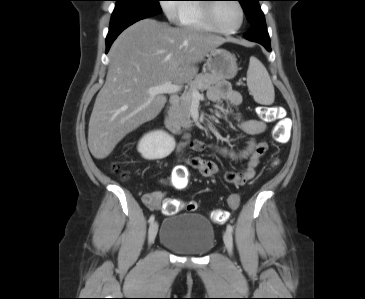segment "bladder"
Masks as SVG:
<instances>
[{"mask_svg": "<svg viewBox=\"0 0 365 299\" xmlns=\"http://www.w3.org/2000/svg\"><path fill=\"white\" fill-rule=\"evenodd\" d=\"M159 242L176 253L201 256L215 246V229L201 214L170 215L163 222Z\"/></svg>", "mask_w": 365, "mask_h": 299, "instance_id": "obj_1", "label": "bladder"}]
</instances>
